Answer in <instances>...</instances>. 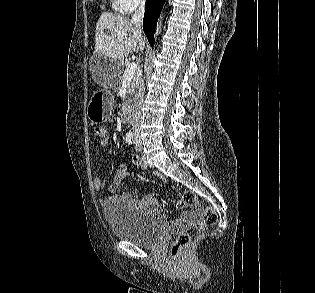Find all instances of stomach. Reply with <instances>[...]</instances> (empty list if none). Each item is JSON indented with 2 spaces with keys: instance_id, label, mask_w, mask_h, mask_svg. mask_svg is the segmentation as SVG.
Wrapping results in <instances>:
<instances>
[{
  "instance_id": "1",
  "label": "stomach",
  "mask_w": 315,
  "mask_h": 293,
  "mask_svg": "<svg viewBox=\"0 0 315 293\" xmlns=\"http://www.w3.org/2000/svg\"><path fill=\"white\" fill-rule=\"evenodd\" d=\"M113 101V96L109 92H96L88 105L89 119L94 123L107 121L112 112Z\"/></svg>"
}]
</instances>
